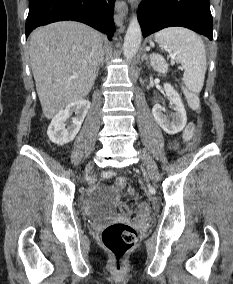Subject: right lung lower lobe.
I'll use <instances>...</instances> for the list:
<instances>
[{
    "instance_id": "right-lung-lower-lobe-1",
    "label": "right lung lower lobe",
    "mask_w": 233,
    "mask_h": 284,
    "mask_svg": "<svg viewBox=\"0 0 233 284\" xmlns=\"http://www.w3.org/2000/svg\"><path fill=\"white\" fill-rule=\"evenodd\" d=\"M115 0H29L25 34L38 26L56 21L75 20L100 30L111 39Z\"/></svg>"
}]
</instances>
